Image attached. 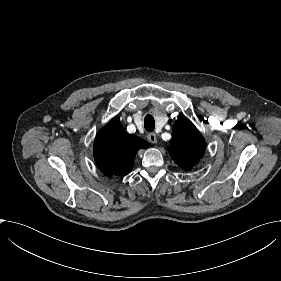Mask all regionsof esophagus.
Listing matches in <instances>:
<instances>
[{
	"label": "esophagus",
	"instance_id": "obj_1",
	"mask_svg": "<svg viewBox=\"0 0 281 281\" xmlns=\"http://www.w3.org/2000/svg\"><path fill=\"white\" fill-rule=\"evenodd\" d=\"M147 138H148V140H149L151 143H153V144H155V143L157 142V136H156L155 133H149V134L147 135Z\"/></svg>",
	"mask_w": 281,
	"mask_h": 281
}]
</instances>
